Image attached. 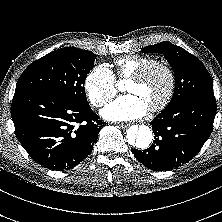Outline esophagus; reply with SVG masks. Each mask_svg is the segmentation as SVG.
I'll return each instance as SVG.
<instances>
[{"label": "esophagus", "mask_w": 222, "mask_h": 222, "mask_svg": "<svg viewBox=\"0 0 222 222\" xmlns=\"http://www.w3.org/2000/svg\"><path fill=\"white\" fill-rule=\"evenodd\" d=\"M129 126V124H125V123H119L118 127H120L121 129H125Z\"/></svg>", "instance_id": "1"}]
</instances>
